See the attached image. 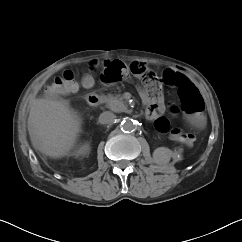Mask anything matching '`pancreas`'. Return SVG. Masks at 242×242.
Returning a JSON list of instances; mask_svg holds the SVG:
<instances>
[{
	"mask_svg": "<svg viewBox=\"0 0 242 242\" xmlns=\"http://www.w3.org/2000/svg\"><path fill=\"white\" fill-rule=\"evenodd\" d=\"M107 107L114 112H122L125 110L124 99L121 95H106L103 97Z\"/></svg>",
	"mask_w": 242,
	"mask_h": 242,
	"instance_id": "obj_1",
	"label": "pancreas"
}]
</instances>
